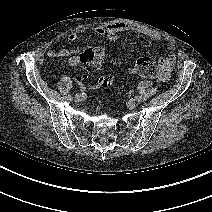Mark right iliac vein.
I'll return each instance as SVG.
<instances>
[{
	"instance_id": "obj_1",
	"label": "right iliac vein",
	"mask_w": 212,
	"mask_h": 212,
	"mask_svg": "<svg viewBox=\"0 0 212 212\" xmlns=\"http://www.w3.org/2000/svg\"><path fill=\"white\" fill-rule=\"evenodd\" d=\"M75 102H80L82 100V97L80 94H76L74 97Z\"/></svg>"
}]
</instances>
